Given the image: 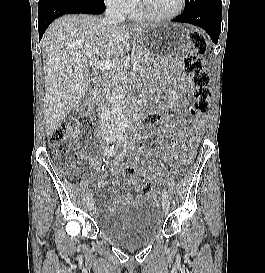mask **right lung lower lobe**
<instances>
[{
	"label": "right lung lower lobe",
	"mask_w": 265,
	"mask_h": 273,
	"mask_svg": "<svg viewBox=\"0 0 265 273\" xmlns=\"http://www.w3.org/2000/svg\"><path fill=\"white\" fill-rule=\"evenodd\" d=\"M105 4L100 0H39L38 31L39 40L49 24L65 14H101Z\"/></svg>",
	"instance_id": "obj_1"
}]
</instances>
